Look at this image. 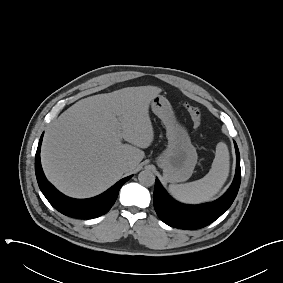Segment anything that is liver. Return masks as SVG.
I'll use <instances>...</instances> for the list:
<instances>
[{
	"label": "liver",
	"mask_w": 283,
	"mask_h": 283,
	"mask_svg": "<svg viewBox=\"0 0 283 283\" xmlns=\"http://www.w3.org/2000/svg\"><path fill=\"white\" fill-rule=\"evenodd\" d=\"M161 91L127 87L69 107L44 135L41 162L48 180L68 196L89 198L133 171L145 157L140 148L154 139L149 105ZM125 162L130 166L123 171Z\"/></svg>",
	"instance_id": "liver-1"
}]
</instances>
